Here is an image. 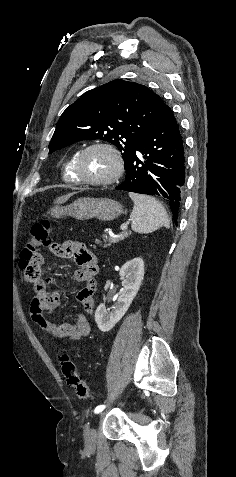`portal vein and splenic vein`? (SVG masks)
<instances>
[{
    "label": "portal vein and splenic vein",
    "instance_id": "obj_1",
    "mask_svg": "<svg viewBox=\"0 0 236 477\" xmlns=\"http://www.w3.org/2000/svg\"><path fill=\"white\" fill-rule=\"evenodd\" d=\"M121 231H126L127 229V224H122L120 227Z\"/></svg>",
    "mask_w": 236,
    "mask_h": 477
}]
</instances>
